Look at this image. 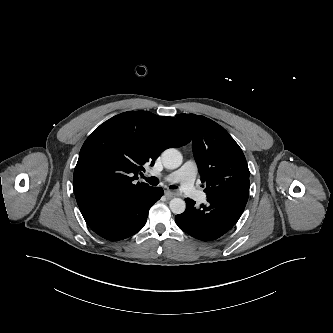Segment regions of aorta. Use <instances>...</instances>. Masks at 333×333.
Here are the masks:
<instances>
[{
  "mask_svg": "<svg viewBox=\"0 0 333 333\" xmlns=\"http://www.w3.org/2000/svg\"><path fill=\"white\" fill-rule=\"evenodd\" d=\"M182 161V154L175 148L166 149L162 153V162L167 169L178 168ZM169 207L174 214H181L185 211L186 203L181 198H173L169 203Z\"/></svg>",
  "mask_w": 333,
  "mask_h": 333,
  "instance_id": "1",
  "label": "aorta"
}]
</instances>
